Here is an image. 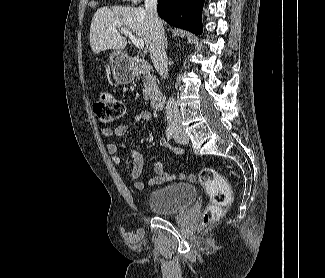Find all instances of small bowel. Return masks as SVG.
Masks as SVG:
<instances>
[{"mask_svg":"<svg viewBox=\"0 0 325 278\" xmlns=\"http://www.w3.org/2000/svg\"><path fill=\"white\" fill-rule=\"evenodd\" d=\"M152 120V115L148 110H142L138 112L134 116V121L136 123H150ZM128 131V123L123 121L119 123L115 128H103L101 133L105 137L112 136H122L126 134ZM160 146L169 149L175 154L183 155L185 151L178 147H172L165 139H161L159 141ZM107 151L112 156V162L116 165H120L122 163V158L118 155V146L115 143L107 144ZM132 157V169L130 173V180L133 186L137 190H142L144 188V184L139 181V177L142 174L144 160L142 155L135 150L131 151ZM154 176L150 179L149 185L160 186L172 180H181L184 178L183 174H168L164 170V164L161 161H158L154 166Z\"/></svg>","mask_w":325,"mask_h":278,"instance_id":"1","label":"small bowel"}]
</instances>
